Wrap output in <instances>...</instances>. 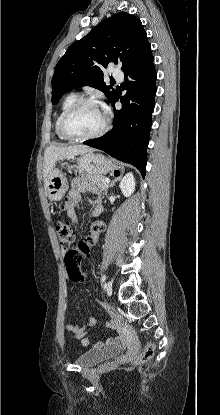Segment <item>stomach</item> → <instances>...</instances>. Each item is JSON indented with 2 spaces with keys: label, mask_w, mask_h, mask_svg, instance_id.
<instances>
[{
  "label": "stomach",
  "mask_w": 220,
  "mask_h": 415,
  "mask_svg": "<svg viewBox=\"0 0 220 415\" xmlns=\"http://www.w3.org/2000/svg\"><path fill=\"white\" fill-rule=\"evenodd\" d=\"M84 171L95 176L105 175L118 170L115 162L106 156L98 153L87 152L77 159V164L68 166L69 171L73 168ZM45 189L49 199L61 200L68 190L66 175L58 169H52L47 176Z\"/></svg>",
  "instance_id": "stomach-1"
}]
</instances>
